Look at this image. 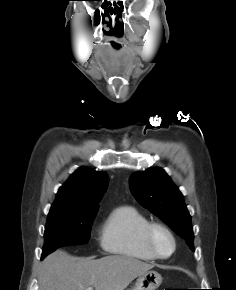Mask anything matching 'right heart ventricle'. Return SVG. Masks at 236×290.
I'll return each instance as SVG.
<instances>
[{
  "label": "right heart ventricle",
  "instance_id": "obj_1",
  "mask_svg": "<svg viewBox=\"0 0 236 290\" xmlns=\"http://www.w3.org/2000/svg\"><path fill=\"white\" fill-rule=\"evenodd\" d=\"M150 220L136 207L121 205L107 216L100 232L102 249L114 255L141 261H154L147 249L144 232Z\"/></svg>",
  "mask_w": 236,
  "mask_h": 290
}]
</instances>
